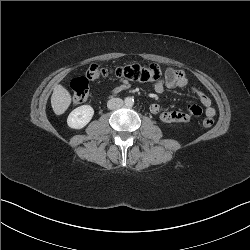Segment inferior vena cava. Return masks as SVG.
I'll list each match as a JSON object with an SVG mask.
<instances>
[{
	"label": "inferior vena cava",
	"instance_id": "inferior-vena-cava-1",
	"mask_svg": "<svg viewBox=\"0 0 250 250\" xmlns=\"http://www.w3.org/2000/svg\"><path fill=\"white\" fill-rule=\"evenodd\" d=\"M123 100L120 98H112L108 101L107 107L110 110L118 109L123 106Z\"/></svg>",
	"mask_w": 250,
	"mask_h": 250
}]
</instances>
